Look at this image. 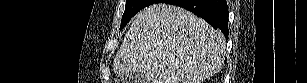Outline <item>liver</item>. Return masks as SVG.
Listing matches in <instances>:
<instances>
[{"mask_svg":"<svg viewBox=\"0 0 307 83\" xmlns=\"http://www.w3.org/2000/svg\"><path fill=\"white\" fill-rule=\"evenodd\" d=\"M226 41L191 12L153 4L136 15L114 58V72L146 83H202L223 67Z\"/></svg>","mask_w":307,"mask_h":83,"instance_id":"liver-1","label":"liver"}]
</instances>
